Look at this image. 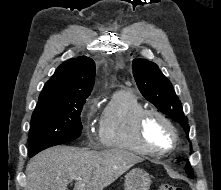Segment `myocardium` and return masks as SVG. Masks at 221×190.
Segmentation results:
<instances>
[{"label": "myocardium", "mask_w": 221, "mask_h": 190, "mask_svg": "<svg viewBox=\"0 0 221 190\" xmlns=\"http://www.w3.org/2000/svg\"><path fill=\"white\" fill-rule=\"evenodd\" d=\"M150 116L158 117L160 120H162L165 123V125L170 130L173 140H172V144L169 147L158 149V148L153 147L147 141V138L144 133V129H145L146 121ZM135 134L140 145L151 155L159 156L162 154L169 153L173 151L179 144V135L172 121L164 113L154 108L144 109L143 111L139 113L135 122Z\"/></svg>", "instance_id": "1"}]
</instances>
